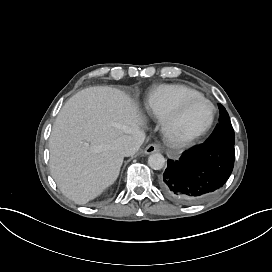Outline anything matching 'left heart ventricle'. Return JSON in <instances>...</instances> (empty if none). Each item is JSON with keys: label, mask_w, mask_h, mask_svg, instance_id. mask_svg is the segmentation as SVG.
Here are the masks:
<instances>
[{"label": "left heart ventricle", "mask_w": 272, "mask_h": 272, "mask_svg": "<svg viewBox=\"0 0 272 272\" xmlns=\"http://www.w3.org/2000/svg\"><path fill=\"white\" fill-rule=\"evenodd\" d=\"M210 106L201 99L190 102L179 115L175 125L181 131H193L205 126L210 118Z\"/></svg>", "instance_id": "left-heart-ventricle-1"}]
</instances>
